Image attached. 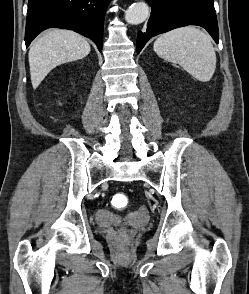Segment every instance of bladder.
I'll use <instances>...</instances> for the list:
<instances>
[{"label": "bladder", "instance_id": "bladder-1", "mask_svg": "<svg viewBox=\"0 0 249 294\" xmlns=\"http://www.w3.org/2000/svg\"><path fill=\"white\" fill-rule=\"evenodd\" d=\"M96 220L101 224H107L111 223L114 220V218L106 211H102L96 214Z\"/></svg>", "mask_w": 249, "mask_h": 294}]
</instances>
